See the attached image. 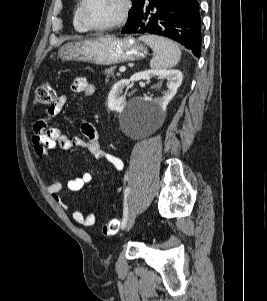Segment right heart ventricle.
Here are the masks:
<instances>
[{"mask_svg": "<svg viewBox=\"0 0 267 301\" xmlns=\"http://www.w3.org/2000/svg\"><path fill=\"white\" fill-rule=\"evenodd\" d=\"M80 5H81V0H78L75 10H74V15H73V26H74V29L78 32H87L88 29L84 26V24L81 20Z\"/></svg>", "mask_w": 267, "mask_h": 301, "instance_id": "obj_1", "label": "right heart ventricle"}]
</instances>
